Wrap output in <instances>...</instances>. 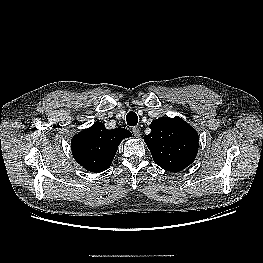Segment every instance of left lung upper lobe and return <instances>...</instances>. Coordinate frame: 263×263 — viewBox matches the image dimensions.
<instances>
[{
	"label": "left lung upper lobe",
	"mask_w": 263,
	"mask_h": 263,
	"mask_svg": "<svg viewBox=\"0 0 263 263\" xmlns=\"http://www.w3.org/2000/svg\"><path fill=\"white\" fill-rule=\"evenodd\" d=\"M150 127L152 131L144 140L157 165L170 172H179L193 163L199 138L190 125L178 118L161 117Z\"/></svg>",
	"instance_id": "1"
}]
</instances>
